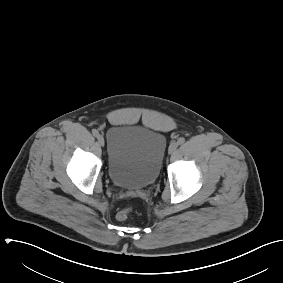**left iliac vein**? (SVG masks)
<instances>
[{"label": "left iliac vein", "mask_w": 283, "mask_h": 283, "mask_svg": "<svg viewBox=\"0 0 283 283\" xmlns=\"http://www.w3.org/2000/svg\"><path fill=\"white\" fill-rule=\"evenodd\" d=\"M177 147H178V142H175V141L171 142L169 149H168L169 154H173L176 151Z\"/></svg>", "instance_id": "obj_1"}]
</instances>
